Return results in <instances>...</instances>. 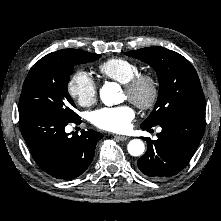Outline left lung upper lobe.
Instances as JSON below:
<instances>
[{
	"mask_svg": "<svg viewBox=\"0 0 221 221\" xmlns=\"http://www.w3.org/2000/svg\"><path fill=\"white\" fill-rule=\"evenodd\" d=\"M125 54L152 66L159 79L157 103L141 126L153 127L178 114L205 111V98L198 74L182 55L159 46Z\"/></svg>",
	"mask_w": 221,
	"mask_h": 221,
	"instance_id": "obj_1",
	"label": "left lung upper lobe"
}]
</instances>
